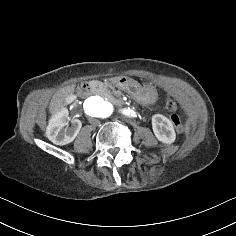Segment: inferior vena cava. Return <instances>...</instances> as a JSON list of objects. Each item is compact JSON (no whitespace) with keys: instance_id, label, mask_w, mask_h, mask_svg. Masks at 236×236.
Instances as JSON below:
<instances>
[{"instance_id":"602c4592","label":"inferior vena cava","mask_w":236,"mask_h":236,"mask_svg":"<svg viewBox=\"0 0 236 236\" xmlns=\"http://www.w3.org/2000/svg\"><path fill=\"white\" fill-rule=\"evenodd\" d=\"M92 126H97L100 124V121L98 119H94L93 117H90L89 118V121H88Z\"/></svg>"}]
</instances>
